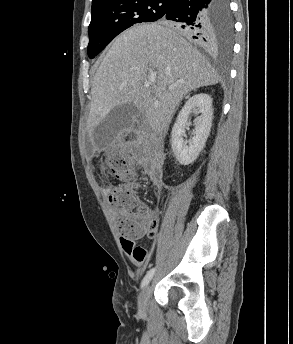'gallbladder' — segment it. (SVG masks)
I'll return each instance as SVG.
<instances>
[{
	"label": "gallbladder",
	"instance_id": "obj_1",
	"mask_svg": "<svg viewBox=\"0 0 293 344\" xmlns=\"http://www.w3.org/2000/svg\"><path fill=\"white\" fill-rule=\"evenodd\" d=\"M141 111L133 104H121L114 107L94 128L92 136L98 149L110 146L124 129L133 127Z\"/></svg>",
	"mask_w": 293,
	"mask_h": 344
}]
</instances>
